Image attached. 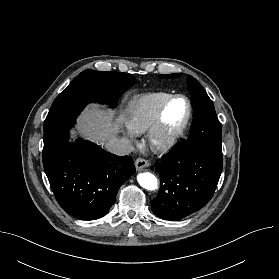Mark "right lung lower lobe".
<instances>
[{
  "instance_id": "right-lung-lower-lobe-1",
  "label": "right lung lower lobe",
  "mask_w": 279,
  "mask_h": 279,
  "mask_svg": "<svg viewBox=\"0 0 279 279\" xmlns=\"http://www.w3.org/2000/svg\"><path fill=\"white\" fill-rule=\"evenodd\" d=\"M60 206L80 220L108 213L119 187L135 172L130 156H116L81 139L66 141L44 165Z\"/></svg>"
}]
</instances>
